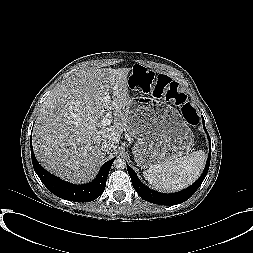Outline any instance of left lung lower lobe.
<instances>
[{
	"label": "left lung lower lobe",
	"instance_id": "0a47b994",
	"mask_svg": "<svg viewBox=\"0 0 253 253\" xmlns=\"http://www.w3.org/2000/svg\"><path fill=\"white\" fill-rule=\"evenodd\" d=\"M203 126H204L205 131L207 132L204 125V119H203ZM207 136L210 143V151H209V156H208L204 171L201 177L194 184H192L190 187L180 192L172 193V194H164V193H159L157 191H153L149 189L148 187H146L139 180V178L137 177V175L135 174L134 170L131 167L127 166V170L131 177L133 187L137 191L138 195L148 202H151L154 204H161V205H176L189 199L200 187L209 169L210 158H211V141H210V137L208 133H207Z\"/></svg>",
	"mask_w": 253,
	"mask_h": 253
}]
</instances>
